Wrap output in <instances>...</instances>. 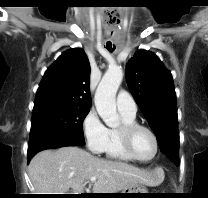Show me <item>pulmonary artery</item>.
Wrapping results in <instances>:
<instances>
[{"instance_id":"e3ab8cb5","label":"pulmonary artery","mask_w":208,"mask_h":198,"mask_svg":"<svg viewBox=\"0 0 208 198\" xmlns=\"http://www.w3.org/2000/svg\"><path fill=\"white\" fill-rule=\"evenodd\" d=\"M117 108L120 112L135 116L137 105L133 97L126 91L122 90L118 93L116 99Z\"/></svg>"}]
</instances>
